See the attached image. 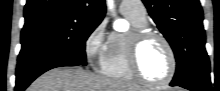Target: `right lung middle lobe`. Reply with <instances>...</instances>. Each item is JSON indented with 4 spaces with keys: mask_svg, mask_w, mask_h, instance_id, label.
Segmentation results:
<instances>
[{
    "mask_svg": "<svg viewBox=\"0 0 220 91\" xmlns=\"http://www.w3.org/2000/svg\"><path fill=\"white\" fill-rule=\"evenodd\" d=\"M98 21L74 17H54L24 25L18 61L58 54L86 65L85 42Z\"/></svg>",
    "mask_w": 220,
    "mask_h": 91,
    "instance_id": "obj_1",
    "label": "right lung middle lobe"
}]
</instances>
